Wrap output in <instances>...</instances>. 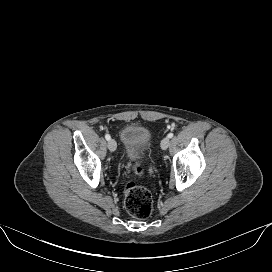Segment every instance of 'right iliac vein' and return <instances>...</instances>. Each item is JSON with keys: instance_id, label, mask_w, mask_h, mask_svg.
Segmentation results:
<instances>
[{"instance_id": "1", "label": "right iliac vein", "mask_w": 272, "mask_h": 272, "mask_svg": "<svg viewBox=\"0 0 272 272\" xmlns=\"http://www.w3.org/2000/svg\"><path fill=\"white\" fill-rule=\"evenodd\" d=\"M116 148H117V144H116L115 140H114V139H110V140L108 141V149H109L111 152H114V151L116 150Z\"/></svg>"}]
</instances>
